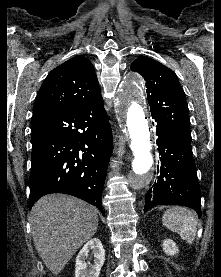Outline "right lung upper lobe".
<instances>
[{"label":"right lung upper lobe","instance_id":"right-lung-upper-lobe-1","mask_svg":"<svg viewBox=\"0 0 221 277\" xmlns=\"http://www.w3.org/2000/svg\"><path fill=\"white\" fill-rule=\"evenodd\" d=\"M102 99L92 63L76 56L52 70L42 84L33 114L69 111Z\"/></svg>","mask_w":221,"mask_h":277}]
</instances>
